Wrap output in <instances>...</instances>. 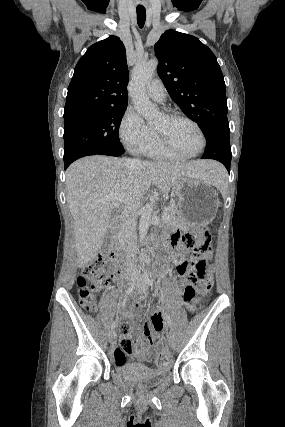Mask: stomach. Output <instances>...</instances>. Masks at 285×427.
Instances as JSON below:
<instances>
[{"instance_id": "obj_1", "label": "stomach", "mask_w": 285, "mask_h": 427, "mask_svg": "<svg viewBox=\"0 0 285 427\" xmlns=\"http://www.w3.org/2000/svg\"><path fill=\"white\" fill-rule=\"evenodd\" d=\"M179 215L190 226H204L215 217L219 198L212 184L193 178H184L174 187Z\"/></svg>"}]
</instances>
